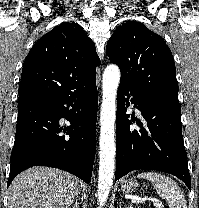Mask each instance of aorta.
<instances>
[{"label": "aorta", "mask_w": 199, "mask_h": 208, "mask_svg": "<svg viewBox=\"0 0 199 208\" xmlns=\"http://www.w3.org/2000/svg\"><path fill=\"white\" fill-rule=\"evenodd\" d=\"M120 82L117 65H109L103 73V97L100 114V162L97 197L101 207L108 199L115 169L114 124L116 117V94Z\"/></svg>", "instance_id": "obj_1"}]
</instances>
